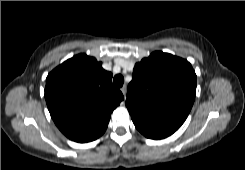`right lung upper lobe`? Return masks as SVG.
<instances>
[{
    "label": "right lung upper lobe",
    "mask_w": 245,
    "mask_h": 170,
    "mask_svg": "<svg viewBox=\"0 0 245 170\" xmlns=\"http://www.w3.org/2000/svg\"><path fill=\"white\" fill-rule=\"evenodd\" d=\"M112 74L94 57L79 54L46 78L45 99L53 121L69 139L85 143L100 137L123 100Z\"/></svg>",
    "instance_id": "right-lung-upper-lobe-1"
}]
</instances>
